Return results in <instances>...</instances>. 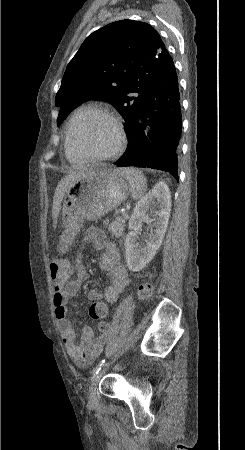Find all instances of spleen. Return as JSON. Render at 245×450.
Wrapping results in <instances>:
<instances>
[{"instance_id": "1", "label": "spleen", "mask_w": 245, "mask_h": 450, "mask_svg": "<svg viewBox=\"0 0 245 450\" xmlns=\"http://www.w3.org/2000/svg\"><path fill=\"white\" fill-rule=\"evenodd\" d=\"M129 182L130 192L133 199L141 198L147 188L146 178L142 172L134 168L120 169Z\"/></svg>"}]
</instances>
